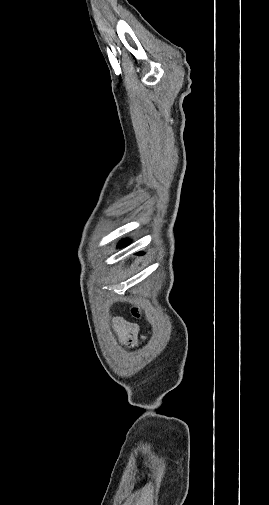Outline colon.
I'll return each mask as SVG.
<instances>
[{"label": "colon", "mask_w": 269, "mask_h": 505, "mask_svg": "<svg viewBox=\"0 0 269 505\" xmlns=\"http://www.w3.org/2000/svg\"><path fill=\"white\" fill-rule=\"evenodd\" d=\"M131 312L134 317H136V318L140 317V311L137 307L132 308Z\"/></svg>", "instance_id": "5ec220e1"}]
</instances>
